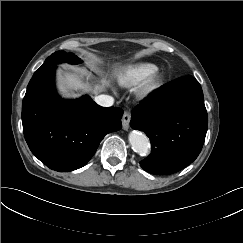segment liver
<instances>
[{
  "mask_svg": "<svg viewBox=\"0 0 243 243\" xmlns=\"http://www.w3.org/2000/svg\"><path fill=\"white\" fill-rule=\"evenodd\" d=\"M118 65V64H117ZM118 68L115 66L113 73L116 74ZM110 80L103 78L100 84L91 85L84 81V76L78 72H61L57 78V89L64 97H75V92H85L97 95L109 86Z\"/></svg>",
  "mask_w": 243,
  "mask_h": 243,
  "instance_id": "1",
  "label": "liver"
}]
</instances>
